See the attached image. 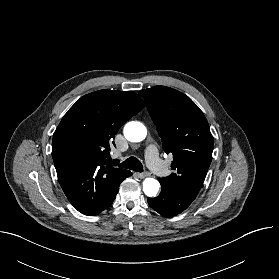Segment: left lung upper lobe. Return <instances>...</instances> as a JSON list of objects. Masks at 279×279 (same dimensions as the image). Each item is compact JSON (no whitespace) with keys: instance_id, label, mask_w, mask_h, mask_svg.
<instances>
[{"instance_id":"5c2ea615","label":"left lung upper lobe","mask_w":279,"mask_h":279,"mask_svg":"<svg viewBox=\"0 0 279 279\" xmlns=\"http://www.w3.org/2000/svg\"><path fill=\"white\" fill-rule=\"evenodd\" d=\"M161 137L173 154L170 176L159 178L171 189L197 196L212 160L213 137L202 111L185 94L165 86L139 92Z\"/></svg>"}]
</instances>
